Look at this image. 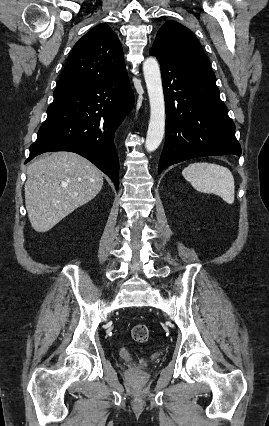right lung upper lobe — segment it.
<instances>
[{
    "label": "right lung upper lobe",
    "instance_id": "right-lung-upper-lobe-1",
    "mask_svg": "<svg viewBox=\"0 0 269 426\" xmlns=\"http://www.w3.org/2000/svg\"><path fill=\"white\" fill-rule=\"evenodd\" d=\"M126 73L123 50L107 24H99L77 41L55 93L73 87L102 83Z\"/></svg>",
    "mask_w": 269,
    "mask_h": 426
}]
</instances>
